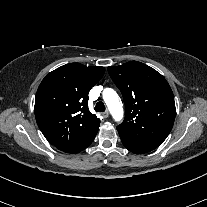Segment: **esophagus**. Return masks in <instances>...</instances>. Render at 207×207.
<instances>
[{
	"mask_svg": "<svg viewBox=\"0 0 207 207\" xmlns=\"http://www.w3.org/2000/svg\"><path fill=\"white\" fill-rule=\"evenodd\" d=\"M103 116H104L105 118H108V117H109V112H108V111L104 112V113H103Z\"/></svg>",
	"mask_w": 207,
	"mask_h": 207,
	"instance_id": "esophagus-1",
	"label": "esophagus"
}]
</instances>
